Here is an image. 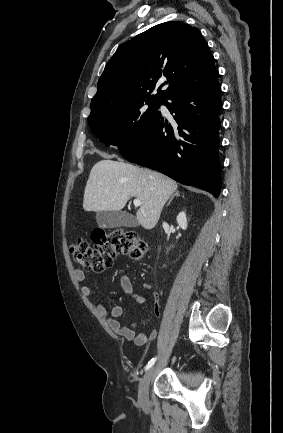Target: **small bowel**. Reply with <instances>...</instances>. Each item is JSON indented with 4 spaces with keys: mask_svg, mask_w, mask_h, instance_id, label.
Masks as SVG:
<instances>
[{
    "mask_svg": "<svg viewBox=\"0 0 283 433\" xmlns=\"http://www.w3.org/2000/svg\"><path fill=\"white\" fill-rule=\"evenodd\" d=\"M75 277L77 281L83 282L86 280V273L82 270L75 271ZM122 287L124 291L130 295L136 302L145 303L146 299L137 293L134 292L133 287L129 280L125 279L122 281ZM81 291L84 296L91 297L92 296V288L88 285H84L81 288ZM99 312L106 316L109 315L107 320L110 329L120 335L125 337L127 340L133 341L138 346H143L153 340L156 337V331L151 330L150 332H140L136 331V323L124 324L119 319L123 316V308L120 305H114L108 311L104 306L97 305ZM156 314L158 311L156 309Z\"/></svg>",
    "mask_w": 283,
    "mask_h": 433,
    "instance_id": "obj_1",
    "label": "small bowel"
}]
</instances>
